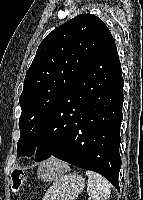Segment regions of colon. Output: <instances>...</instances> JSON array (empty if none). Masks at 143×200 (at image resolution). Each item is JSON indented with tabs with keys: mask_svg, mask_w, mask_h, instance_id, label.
<instances>
[{
	"mask_svg": "<svg viewBox=\"0 0 143 200\" xmlns=\"http://www.w3.org/2000/svg\"><path fill=\"white\" fill-rule=\"evenodd\" d=\"M12 188L14 191H18L25 182L26 175L23 171L15 169L11 175Z\"/></svg>",
	"mask_w": 143,
	"mask_h": 200,
	"instance_id": "obj_1",
	"label": "colon"
}]
</instances>
